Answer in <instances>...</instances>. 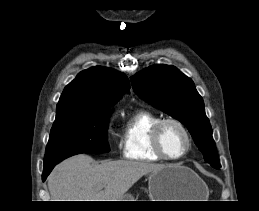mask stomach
<instances>
[{
    "mask_svg": "<svg viewBox=\"0 0 259 211\" xmlns=\"http://www.w3.org/2000/svg\"><path fill=\"white\" fill-rule=\"evenodd\" d=\"M148 192L151 201H199L207 186L191 169L180 165H165L148 177ZM125 194L121 201H133Z\"/></svg>",
    "mask_w": 259,
    "mask_h": 211,
    "instance_id": "1",
    "label": "stomach"
}]
</instances>
